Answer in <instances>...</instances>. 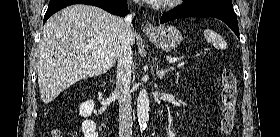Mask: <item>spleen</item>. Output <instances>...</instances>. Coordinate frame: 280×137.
I'll list each match as a JSON object with an SVG mask.
<instances>
[{
	"instance_id": "spleen-1",
	"label": "spleen",
	"mask_w": 280,
	"mask_h": 137,
	"mask_svg": "<svg viewBox=\"0 0 280 137\" xmlns=\"http://www.w3.org/2000/svg\"><path fill=\"white\" fill-rule=\"evenodd\" d=\"M204 37L208 42L212 43L213 46L219 50H225L228 47L226 41L222 38V36L211 29L204 30Z\"/></svg>"
}]
</instances>
